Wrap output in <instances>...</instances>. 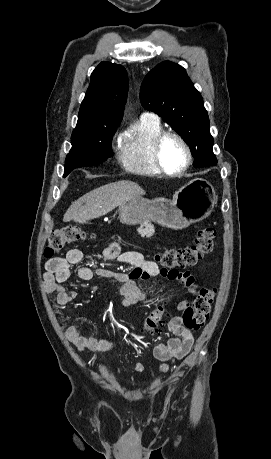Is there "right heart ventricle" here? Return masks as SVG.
Returning <instances> with one entry per match:
<instances>
[{
    "label": "right heart ventricle",
    "mask_w": 271,
    "mask_h": 459,
    "mask_svg": "<svg viewBox=\"0 0 271 459\" xmlns=\"http://www.w3.org/2000/svg\"><path fill=\"white\" fill-rule=\"evenodd\" d=\"M162 130L158 118L141 116L120 151L119 160L126 171L145 176L163 175L152 158L153 139Z\"/></svg>",
    "instance_id": "obj_1"
}]
</instances>
